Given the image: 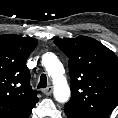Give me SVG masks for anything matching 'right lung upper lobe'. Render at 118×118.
Masks as SVG:
<instances>
[{
    "instance_id": "obj_1",
    "label": "right lung upper lobe",
    "mask_w": 118,
    "mask_h": 118,
    "mask_svg": "<svg viewBox=\"0 0 118 118\" xmlns=\"http://www.w3.org/2000/svg\"><path fill=\"white\" fill-rule=\"evenodd\" d=\"M37 44L34 38L0 36V118H28L38 102L25 65Z\"/></svg>"
}]
</instances>
